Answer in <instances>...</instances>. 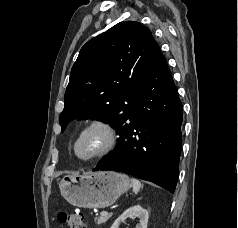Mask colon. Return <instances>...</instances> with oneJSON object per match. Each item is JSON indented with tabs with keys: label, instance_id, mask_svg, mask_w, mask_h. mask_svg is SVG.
Returning a JSON list of instances; mask_svg holds the SVG:
<instances>
[{
	"label": "colon",
	"instance_id": "5ec220e1",
	"mask_svg": "<svg viewBox=\"0 0 238 228\" xmlns=\"http://www.w3.org/2000/svg\"><path fill=\"white\" fill-rule=\"evenodd\" d=\"M58 220L67 228H87L84 216L77 212H60Z\"/></svg>",
	"mask_w": 238,
	"mask_h": 228
}]
</instances>
